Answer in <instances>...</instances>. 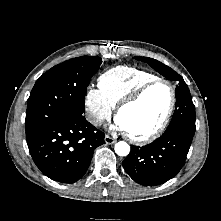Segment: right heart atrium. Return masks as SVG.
Wrapping results in <instances>:
<instances>
[{
  "label": "right heart atrium",
  "mask_w": 221,
  "mask_h": 221,
  "mask_svg": "<svg viewBox=\"0 0 221 221\" xmlns=\"http://www.w3.org/2000/svg\"><path fill=\"white\" fill-rule=\"evenodd\" d=\"M87 120L94 127H99L112 114V107L106 102L98 89L89 88L85 96Z\"/></svg>",
  "instance_id": "right-heart-atrium-1"
}]
</instances>
